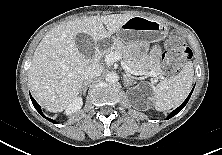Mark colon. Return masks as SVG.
Instances as JSON below:
<instances>
[{"label":"colon","instance_id":"obj_1","mask_svg":"<svg viewBox=\"0 0 222 155\" xmlns=\"http://www.w3.org/2000/svg\"><path fill=\"white\" fill-rule=\"evenodd\" d=\"M165 47L166 52L163 55V68L168 74L178 72L192 56L190 48L179 35H171Z\"/></svg>","mask_w":222,"mask_h":155}]
</instances>
